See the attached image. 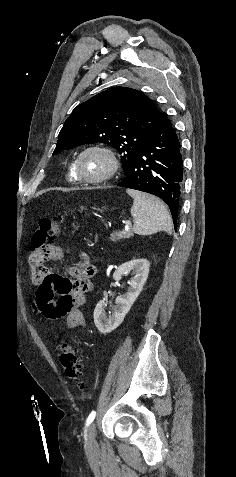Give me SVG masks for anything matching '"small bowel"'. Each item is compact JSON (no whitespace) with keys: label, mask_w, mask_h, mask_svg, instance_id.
<instances>
[{"label":"small bowel","mask_w":236,"mask_h":477,"mask_svg":"<svg viewBox=\"0 0 236 477\" xmlns=\"http://www.w3.org/2000/svg\"><path fill=\"white\" fill-rule=\"evenodd\" d=\"M50 258H61L70 253L68 248H56ZM48 258V259H50ZM46 259V260H48ZM43 263L42 276L34 280L38 285L33 302L34 310L47 320H58L66 317L65 327L74 330L85 327L86 320L80 307L85 305L86 295L92 290V277L95 268L85 254L76 258V264L68 267V276L51 273ZM58 295V298H55Z\"/></svg>","instance_id":"1"}]
</instances>
